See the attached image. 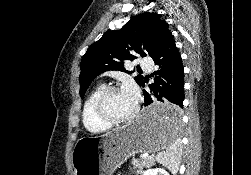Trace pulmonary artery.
I'll list each match as a JSON object with an SVG mask.
<instances>
[{
  "mask_svg": "<svg viewBox=\"0 0 251 175\" xmlns=\"http://www.w3.org/2000/svg\"><path fill=\"white\" fill-rule=\"evenodd\" d=\"M141 69L142 70H153L154 62L153 58H140Z\"/></svg>",
  "mask_w": 251,
  "mask_h": 175,
  "instance_id": "obj_1",
  "label": "pulmonary artery"
}]
</instances>
